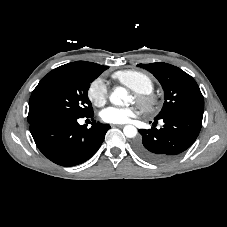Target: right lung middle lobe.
<instances>
[{"label":"right lung middle lobe","mask_w":227,"mask_h":227,"mask_svg":"<svg viewBox=\"0 0 227 227\" xmlns=\"http://www.w3.org/2000/svg\"><path fill=\"white\" fill-rule=\"evenodd\" d=\"M107 68L66 64L53 69L31 94L28 122L45 116L81 118L91 115L90 82Z\"/></svg>","instance_id":"right-lung-middle-lobe-1"}]
</instances>
